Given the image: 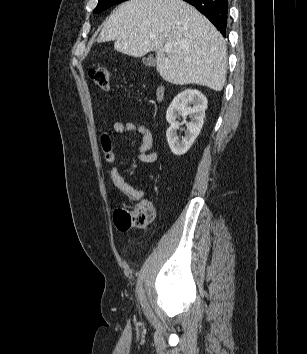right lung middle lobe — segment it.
<instances>
[{
	"mask_svg": "<svg viewBox=\"0 0 307 354\" xmlns=\"http://www.w3.org/2000/svg\"><path fill=\"white\" fill-rule=\"evenodd\" d=\"M124 1H126V0H99L98 5L94 10V13L101 12L107 8H110L116 4H119Z\"/></svg>",
	"mask_w": 307,
	"mask_h": 354,
	"instance_id": "dd1d6c3e",
	"label": "right lung middle lobe"
}]
</instances>
